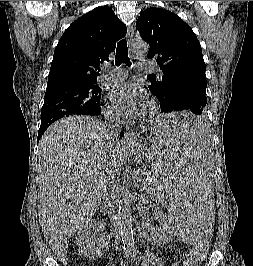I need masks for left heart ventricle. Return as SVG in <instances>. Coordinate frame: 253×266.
<instances>
[{
    "label": "left heart ventricle",
    "mask_w": 253,
    "mask_h": 266,
    "mask_svg": "<svg viewBox=\"0 0 253 266\" xmlns=\"http://www.w3.org/2000/svg\"><path fill=\"white\" fill-rule=\"evenodd\" d=\"M147 110H148V105H146L145 112H147Z\"/></svg>",
    "instance_id": "1"
}]
</instances>
